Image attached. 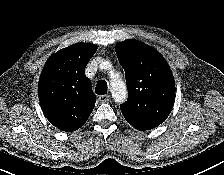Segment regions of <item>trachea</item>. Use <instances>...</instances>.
<instances>
[{
	"instance_id": "trachea-1",
	"label": "trachea",
	"mask_w": 224,
	"mask_h": 175,
	"mask_svg": "<svg viewBox=\"0 0 224 175\" xmlns=\"http://www.w3.org/2000/svg\"><path fill=\"white\" fill-rule=\"evenodd\" d=\"M107 89H108L107 82L104 81V80H101L96 85L95 93L99 94V95H102V94H105L107 92Z\"/></svg>"
}]
</instances>
